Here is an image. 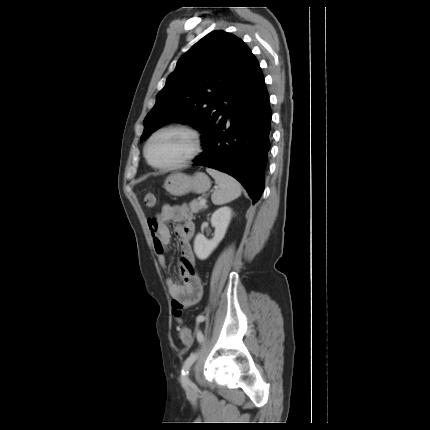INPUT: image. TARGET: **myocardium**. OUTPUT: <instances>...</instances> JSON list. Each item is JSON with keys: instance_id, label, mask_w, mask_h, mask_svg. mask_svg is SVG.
I'll return each mask as SVG.
<instances>
[{"instance_id": "1", "label": "myocardium", "mask_w": 430, "mask_h": 430, "mask_svg": "<svg viewBox=\"0 0 430 430\" xmlns=\"http://www.w3.org/2000/svg\"><path fill=\"white\" fill-rule=\"evenodd\" d=\"M170 130H179V131H183V132L188 133L192 138V149L187 156H185L183 159H181L175 163L168 164V165L156 164L151 160V158L149 156L150 146H151V144L155 138H157L162 133L170 131ZM201 152H202L201 134L199 133L198 130H196L195 128H193L189 125H186V124H170L168 126H165L161 129L157 130L148 138V140L145 144V147H144V156L146 158V161L152 167L159 169V170H172V169L180 168V167L190 163L195 158H197Z\"/></svg>"}]
</instances>
